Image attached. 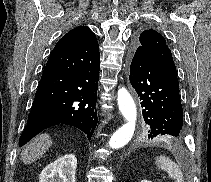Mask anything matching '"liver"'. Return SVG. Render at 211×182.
Listing matches in <instances>:
<instances>
[{
    "instance_id": "1",
    "label": "liver",
    "mask_w": 211,
    "mask_h": 182,
    "mask_svg": "<svg viewBox=\"0 0 211 182\" xmlns=\"http://www.w3.org/2000/svg\"><path fill=\"white\" fill-rule=\"evenodd\" d=\"M52 141L48 134H41L35 137L22 151L21 160L25 164L36 161L50 148Z\"/></svg>"
}]
</instances>
